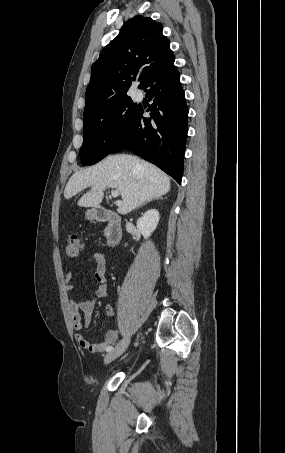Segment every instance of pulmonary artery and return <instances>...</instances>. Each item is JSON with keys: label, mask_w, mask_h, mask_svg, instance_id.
Returning a JSON list of instances; mask_svg holds the SVG:
<instances>
[{"label": "pulmonary artery", "mask_w": 285, "mask_h": 453, "mask_svg": "<svg viewBox=\"0 0 285 453\" xmlns=\"http://www.w3.org/2000/svg\"><path fill=\"white\" fill-rule=\"evenodd\" d=\"M140 93L139 92H136L135 93V97H139Z\"/></svg>", "instance_id": "obj_1"}]
</instances>
